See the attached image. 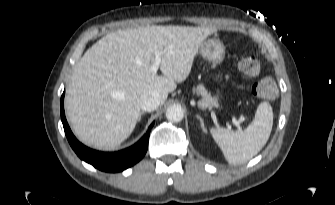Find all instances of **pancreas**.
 <instances>
[{
    "label": "pancreas",
    "mask_w": 335,
    "mask_h": 205,
    "mask_svg": "<svg viewBox=\"0 0 335 205\" xmlns=\"http://www.w3.org/2000/svg\"><path fill=\"white\" fill-rule=\"evenodd\" d=\"M194 90L202 96V99L198 102L199 107L207 108L218 106V101L211 96L210 92H208L203 85H198Z\"/></svg>",
    "instance_id": "pancreas-1"
}]
</instances>
